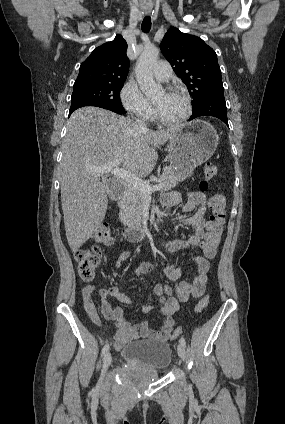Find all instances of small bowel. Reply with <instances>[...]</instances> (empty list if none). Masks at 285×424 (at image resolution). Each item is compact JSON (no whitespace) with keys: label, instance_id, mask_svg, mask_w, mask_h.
Instances as JSON below:
<instances>
[{"label":"small bowel","instance_id":"c3829d8e","mask_svg":"<svg viewBox=\"0 0 285 424\" xmlns=\"http://www.w3.org/2000/svg\"><path fill=\"white\" fill-rule=\"evenodd\" d=\"M181 202V194L177 191L166 193L162 198L163 208H172ZM183 213L188 214L195 210L190 216L181 218L180 222L189 228L192 233L185 240H171L164 241L163 246L169 256L175 253L195 248L197 250H204L203 242L206 240L208 229V222L205 220L207 210V200L204 193L200 191H188L186 201L183 206ZM205 254V253H204ZM132 255L130 250L122 251L117 259L116 268L119 269L125 261ZM206 255L196 254L190 260L196 265V272L191 273L187 267H176L166 262L164 271L166 276L175 281L176 285L173 289L168 285L155 283L153 285V293L158 299V303H154L153 297L150 298L152 302L150 305L142 306L143 312L147 313L154 308H158L162 316V323L158 329L149 327L148 322H129L126 320L124 312L119 307H112L107 300L108 296H112L122 304H132L131 298L119 291L116 287L100 290L101 296V309L103 316L116 325V332L114 334V347L120 350L126 343L139 338H148L154 340L166 341L169 339L175 323L172 318L173 314L180 308L181 302H186L190 299L202 296L206 289L207 276L210 269V263ZM153 269L150 263H143L137 269V274H146ZM190 275L192 282L183 280V276ZM95 292L94 285H86L82 290L83 303L85 311L87 312L91 321L100 326L101 318L93 301Z\"/></svg>","mask_w":285,"mask_h":424}]
</instances>
